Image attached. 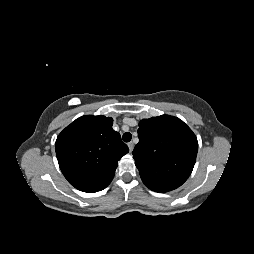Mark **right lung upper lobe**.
Here are the masks:
<instances>
[{
	"mask_svg": "<svg viewBox=\"0 0 254 254\" xmlns=\"http://www.w3.org/2000/svg\"><path fill=\"white\" fill-rule=\"evenodd\" d=\"M113 119L86 115L73 121L57 137L55 150L60 169L71 185L93 193L104 189L113 179L120 160L129 149Z\"/></svg>",
	"mask_w": 254,
	"mask_h": 254,
	"instance_id": "cb5924a9",
	"label": "right lung upper lobe"
}]
</instances>
